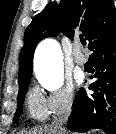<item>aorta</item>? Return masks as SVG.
I'll return each instance as SVG.
<instances>
[{
  "label": "aorta",
  "mask_w": 116,
  "mask_h": 134,
  "mask_svg": "<svg viewBox=\"0 0 116 134\" xmlns=\"http://www.w3.org/2000/svg\"><path fill=\"white\" fill-rule=\"evenodd\" d=\"M34 69L39 83L50 91L58 90L64 82L61 47L56 40L40 42L34 55Z\"/></svg>",
  "instance_id": "aorta-1"
}]
</instances>
